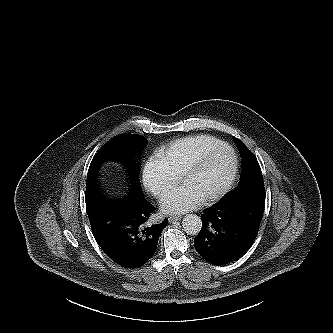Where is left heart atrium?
Masks as SVG:
<instances>
[{"mask_svg":"<svg viewBox=\"0 0 333 333\" xmlns=\"http://www.w3.org/2000/svg\"><path fill=\"white\" fill-rule=\"evenodd\" d=\"M202 201L201 195L187 184L168 191L161 198V208L167 213H184Z\"/></svg>","mask_w":333,"mask_h":333,"instance_id":"left-heart-atrium-1","label":"left heart atrium"}]
</instances>
